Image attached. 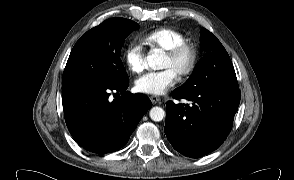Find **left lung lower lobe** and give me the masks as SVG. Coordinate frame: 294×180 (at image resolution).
<instances>
[{
  "instance_id": "1",
  "label": "left lung lower lobe",
  "mask_w": 294,
  "mask_h": 180,
  "mask_svg": "<svg viewBox=\"0 0 294 180\" xmlns=\"http://www.w3.org/2000/svg\"><path fill=\"white\" fill-rule=\"evenodd\" d=\"M175 99L191 104L166 103L165 134L175 150L199 158L216 150L231 131L241 92L236 88L215 87L196 91L175 89Z\"/></svg>"
}]
</instances>
